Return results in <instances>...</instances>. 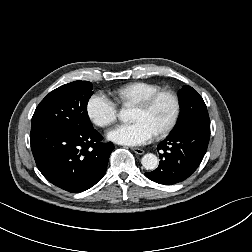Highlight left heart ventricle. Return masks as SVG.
I'll return each instance as SVG.
<instances>
[{
    "label": "left heart ventricle",
    "instance_id": "obj_1",
    "mask_svg": "<svg viewBox=\"0 0 252 252\" xmlns=\"http://www.w3.org/2000/svg\"><path fill=\"white\" fill-rule=\"evenodd\" d=\"M173 113V101L167 96H161L149 110L134 108L132 120L146 122L156 133L167 125Z\"/></svg>",
    "mask_w": 252,
    "mask_h": 252
}]
</instances>
